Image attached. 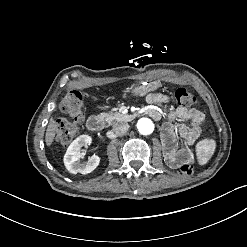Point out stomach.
<instances>
[{
  "label": "stomach",
  "instance_id": "obj_1",
  "mask_svg": "<svg viewBox=\"0 0 247 247\" xmlns=\"http://www.w3.org/2000/svg\"><path fill=\"white\" fill-rule=\"evenodd\" d=\"M161 83L159 81L152 82H133L129 84V91L131 95L135 97H144L150 91L157 90L160 87Z\"/></svg>",
  "mask_w": 247,
  "mask_h": 247
}]
</instances>
